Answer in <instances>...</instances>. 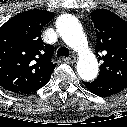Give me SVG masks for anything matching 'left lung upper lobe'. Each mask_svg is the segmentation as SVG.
<instances>
[{
    "mask_svg": "<svg viewBox=\"0 0 127 127\" xmlns=\"http://www.w3.org/2000/svg\"><path fill=\"white\" fill-rule=\"evenodd\" d=\"M91 18L97 33L95 51L103 60L99 76L127 87V22L106 9L93 11Z\"/></svg>",
    "mask_w": 127,
    "mask_h": 127,
    "instance_id": "1",
    "label": "left lung upper lobe"
}]
</instances>
